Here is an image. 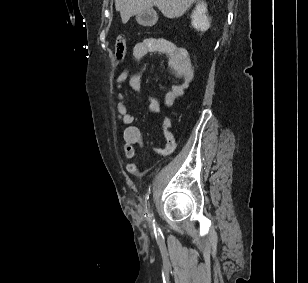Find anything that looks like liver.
<instances>
[{"label":"liver","mask_w":308,"mask_h":283,"mask_svg":"<svg viewBox=\"0 0 308 283\" xmlns=\"http://www.w3.org/2000/svg\"><path fill=\"white\" fill-rule=\"evenodd\" d=\"M196 0H115L116 10L120 12L122 23L131 16L156 6L167 18L182 16Z\"/></svg>","instance_id":"6515ba94"}]
</instances>
